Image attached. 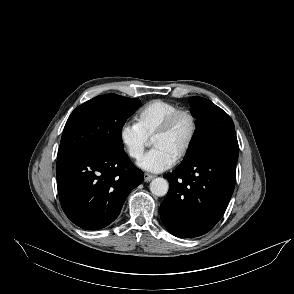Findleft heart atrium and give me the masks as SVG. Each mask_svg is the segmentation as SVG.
<instances>
[{"label":"left heart atrium","mask_w":294,"mask_h":294,"mask_svg":"<svg viewBox=\"0 0 294 294\" xmlns=\"http://www.w3.org/2000/svg\"><path fill=\"white\" fill-rule=\"evenodd\" d=\"M176 157L162 148L154 147L138 163V165L149 172L159 173L171 168Z\"/></svg>","instance_id":"1"}]
</instances>
